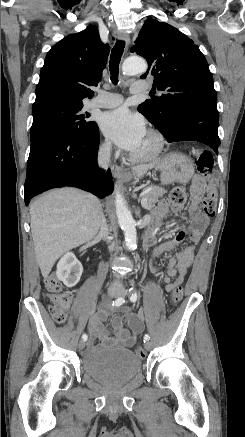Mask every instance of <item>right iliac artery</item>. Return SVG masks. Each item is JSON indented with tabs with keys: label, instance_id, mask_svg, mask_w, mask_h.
I'll list each match as a JSON object with an SVG mask.
<instances>
[{
	"label": "right iliac artery",
	"instance_id": "right-iliac-artery-1",
	"mask_svg": "<svg viewBox=\"0 0 245 437\" xmlns=\"http://www.w3.org/2000/svg\"><path fill=\"white\" fill-rule=\"evenodd\" d=\"M125 302L123 297H119L116 300L112 302V306H120ZM88 339V336L86 334L82 335V340L86 341Z\"/></svg>",
	"mask_w": 245,
	"mask_h": 437
}]
</instances>
